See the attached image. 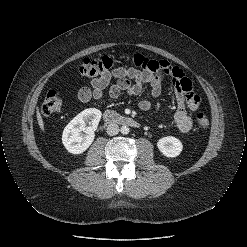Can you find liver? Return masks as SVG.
Listing matches in <instances>:
<instances>
[{
	"mask_svg": "<svg viewBox=\"0 0 247 247\" xmlns=\"http://www.w3.org/2000/svg\"><path fill=\"white\" fill-rule=\"evenodd\" d=\"M37 121H38V124H39V127L41 128V130L44 131V121H43V118H42L38 108H37Z\"/></svg>",
	"mask_w": 247,
	"mask_h": 247,
	"instance_id": "6515ba94",
	"label": "liver"
}]
</instances>
